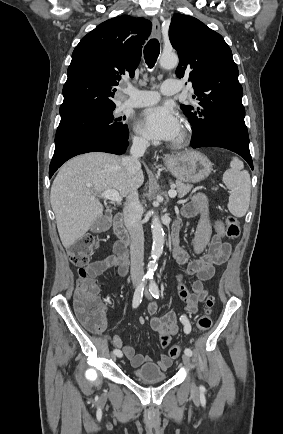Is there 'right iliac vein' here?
<instances>
[{"label":"right iliac vein","instance_id":"obj_1","mask_svg":"<svg viewBox=\"0 0 283 434\" xmlns=\"http://www.w3.org/2000/svg\"><path fill=\"white\" fill-rule=\"evenodd\" d=\"M134 285H135V286H137V285H138V283H137V282H135V283H134ZM111 359H112L113 361H115V360H116V355H115L114 353H112V354H111Z\"/></svg>","mask_w":283,"mask_h":434}]
</instances>
